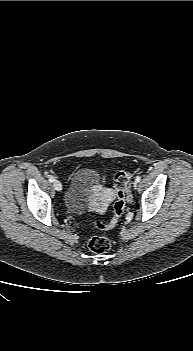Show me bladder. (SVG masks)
I'll use <instances>...</instances> for the list:
<instances>
[{
	"mask_svg": "<svg viewBox=\"0 0 193 351\" xmlns=\"http://www.w3.org/2000/svg\"><path fill=\"white\" fill-rule=\"evenodd\" d=\"M100 183V176L93 168H80L75 170L65 193L64 207L71 215H80L88 210L85 200L92 197L94 188Z\"/></svg>",
	"mask_w": 193,
	"mask_h": 351,
	"instance_id": "obj_1",
	"label": "bladder"
}]
</instances>
